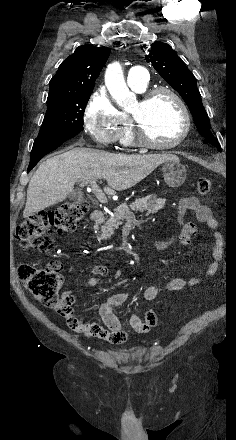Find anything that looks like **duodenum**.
<instances>
[{
    "instance_id": "410a0bca",
    "label": "duodenum",
    "mask_w": 236,
    "mask_h": 440,
    "mask_svg": "<svg viewBox=\"0 0 236 440\" xmlns=\"http://www.w3.org/2000/svg\"><path fill=\"white\" fill-rule=\"evenodd\" d=\"M104 216V211L102 209H95L90 214V221L92 223H95L99 220H101Z\"/></svg>"
}]
</instances>
